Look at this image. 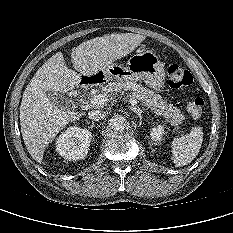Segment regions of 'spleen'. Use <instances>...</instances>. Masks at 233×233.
<instances>
[{"mask_svg": "<svg viewBox=\"0 0 233 233\" xmlns=\"http://www.w3.org/2000/svg\"><path fill=\"white\" fill-rule=\"evenodd\" d=\"M202 141V127H194L189 134L174 138L171 152L175 167L189 164L198 155Z\"/></svg>", "mask_w": 233, "mask_h": 233, "instance_id": "obj_1", "label": "spleen"}]
</instances>
